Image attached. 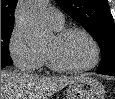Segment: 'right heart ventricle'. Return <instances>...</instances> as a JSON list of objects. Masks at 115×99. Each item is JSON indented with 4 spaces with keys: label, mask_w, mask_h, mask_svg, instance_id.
Wrapping results in <instances>:
<instances>
[{
    "label": "right heart ventricle",
    "mask_w": 115,
    "mask_h": 99,
    "mask_svg": "<svg viewBox=\"0 0 115 99\" xmlns=\"http://www.w3.org/2000/svg\"><path fill=\"white\" fill-rule=\"evenodd\" d=\"M56 30H60V29H56ZM46 62L45 56L43 55V63ZM42 63V64H43Z\"/></svg>",
    "instance_id": "e07e8e85"
}]
</instances>
